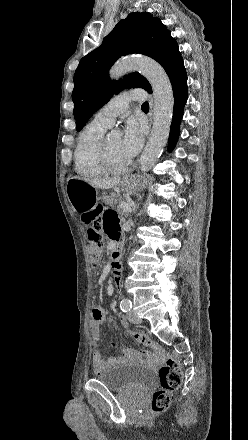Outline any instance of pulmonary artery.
Here are the masks:
<instances>
[{
	"mask_svg": "<svg viewBox=\"0 0 248 440\" xmlns=\"http://www.w3.org/2000/svg\"><path fill=\"white\" fill-rule=\"evenodd\" d=\"M146 94L142 89H132L127 92H123L113 99H111L104 107H102L94 117V120L107 128L110 127L115 118L123 113L130 101L143 100Z\"/></svg>",
	"mask_w": 248,
	"mask_h": 440,
	"instance_id": "e3ab8cb5",
	"label": "pulmonary artery"
}]
</instances>
